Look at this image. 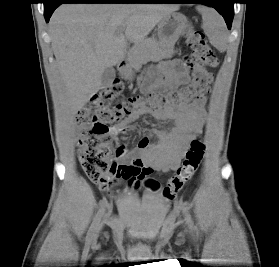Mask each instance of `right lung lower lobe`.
<instances>
[{
  "label": "right lung lower lobe",
  "mask_w": 279,
  "mask_h": 267,
  "mask_svg": "<svg viewBox=\"0 0 279 267\" xmlns=\"http://www.w3.org/2000/svg\"><path fill=\"white\" fill-rule=\"evenodd\" d=\"M154 0H45L44 16L49 21L54 10L62 3H150Z\"/></svg>",
  "instance_id": "98d812e1"
}]
</instances>
